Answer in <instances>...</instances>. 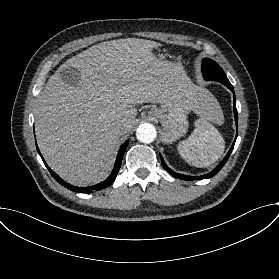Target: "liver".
<instances>
[{"label":"liver","instance_id":"6515ba94","mask_svg":"<svg viewBox=\"0 0 279 279\" xmlns=\"http://www.w3.org/2000/svg\"><path fill=\"white\" fill-rule=\"evenodd\" d=\"M163 45L143 39L106 41L69 59L48 80L35 109L38 146L49 166L66 181L89 185L112 169L116 146L134 124L137 104L168 103L171 93L201 116V92L179 62L155 53ZM73 66L81 74L75 86L61 78ZM129 121L120 134L116 127Z\"/></svg>","mask_w":279,"mask_h":279}]
</instances>
